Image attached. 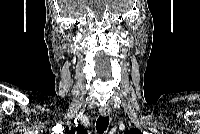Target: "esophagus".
Instances as JSON below:
<instances>
[{"instance_id":"1","label":"esophagus","mask_w":200,"mask_h":134,"mask_svg":"<svg viewBox=\"0 0 200 134\" xmlns=\"http://www.w3.org/2000/svg\"><path fill=\"white\" fill-rule=\"evenodd\" d=\"M99 112L102 116L106 117L110 113V108L109 106H101Z\"/></svg>"}]
</instances>
